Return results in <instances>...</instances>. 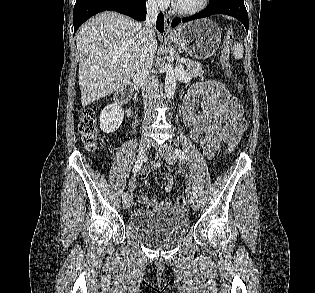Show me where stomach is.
<instances>
[{"mask_svg": "<svg viewBox=\"0 0 315 293\" xmlns=\"http://www.w3.org/2000/svg\"><path fill=\"white\" fill-rule=\"evenodd\" d=\"M169 37L190 56L204 60L218 50L221 31L215 22L201 19L179 26Z\"/></svg>", "mask_w": 315, "mask_h": 293, "instance_id": "obj_1", "label": "stomach"}]
</instances>
